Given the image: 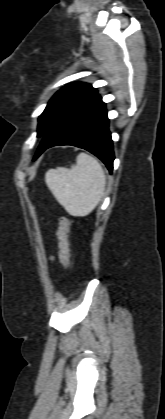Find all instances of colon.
<instances>
[{
	"label": "colon",
	"instance_id": "colon-1",
	"mask_svg": "<svg viewBox=\"0 0 165 419\" xmlns=\"http://www.w3.org/2000/svg\"><path fill=\"white\" fill-rule=\"evenodd\" d=\"M57 238L59 241L60 257L66 270H69L72 264L70 226L67 218L65 217H60L59 219Z\"/></svg>",
	"mask_w": 165,
	"mask_h": 419
}]
</instances>
